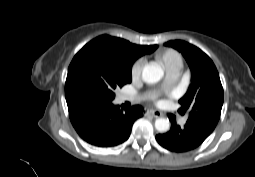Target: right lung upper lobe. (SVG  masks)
Returning a JSON list of instances; mask_svg holds the SVG:
<instances>
[{
    "instance_id": "cb5924a9",
    "label": "right lung upper lobe",
    "mask_w": 255,
    "mask_h": 177,
    "mask_svg": "<svg viewBox=\"0 0 255 177\" xmlns=\"http://www.w3.org/2000/svg\"><path fill=\"white\" fill-rule=\"evenodd\" d=\"M88 45L94 46L107 54L119 56L131 65L137 58L151 53L157 48V45H136L124 39L108 35L99 36L90 41ZM65 96L67 103L74 102L83 97L80 94H65Z\"/></svg>"
}]
</instances>
